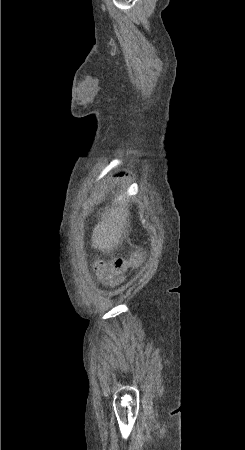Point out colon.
<instances>
[{
	"mask_svg": "<svg viewBox=\"0 0 245 450\" xmlns=\"http://www.w3.org/2000/svg\"><path fill=\"white\" fill-rule=\"evenodd\" d=\"M141 253L136 251L132 253L129 258L119 257L115 258L110 262L108 266L103 260H97L94 263V269L98 272L104 271L107 268H110L117 274H121L125 272L130 267H135L139 264L141 260Z\"/></svg>",
	"mask_w": 245,
	"mask_h": 450,
	"instance_id": "5ec220e1",
	"label": "colon"
}]
</instances>
